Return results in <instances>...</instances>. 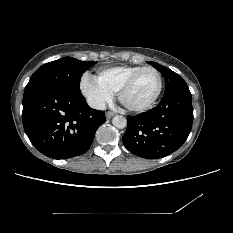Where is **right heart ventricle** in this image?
<instances>
[{
  "label": "right heart ventricle",
  "instance_id": "right-heart-ventricle-1",
  "mask_svg": "<svg viewBox=\"0 0 233 233\" xmlns=\"http://www.w3.org/2000/svg\"><path fill=\"white\" fill-rule=\"evenodd\" d=\"M143 66H114L98 72L96 82L107 90L112 96L117 94L123 83Z\"/></svg>",
  "mask_w": 233,
  "mask_h": 233
}]
</instances>
